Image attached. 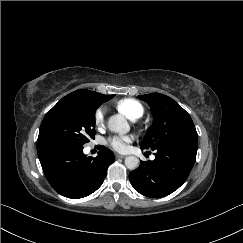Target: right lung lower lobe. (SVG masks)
<instances>
[{
	"label": "right lung lower lobe",
	"mask_w": 243,
	"mask_h": 243,
	"mask_svg": "<svg viewBox=\"0 0 243 243\" xmlns=\"http://www.w3.org/2000/svg\"><path fill=\"white\" fill-rule=\"evenodd\" d=\"M98 156L87 157L83 146L56 144L37 149L43 172L50 185L68 198H83L103 183L114 154L100 146Z\"/></svg>",
	"instance_id": "1"
}]
</instances>
